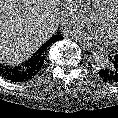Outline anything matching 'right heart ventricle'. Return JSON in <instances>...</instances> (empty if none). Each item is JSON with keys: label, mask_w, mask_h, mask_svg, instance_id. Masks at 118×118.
<instances>
[{"label": "right heart ventricle", "mask_w": 118, "mask_h": 118, "mask_svg": "<svg viewBox=\"0 0 118 118\" xmlns=\"http://www.w3.org/2000/svg\"><path fill=\"white\" fill-rule=\"evenodd\" d=\"M112 0H85L91 14H98Z\"/></svg>", "instance_id": "e07e8e85"}]
</instances>
